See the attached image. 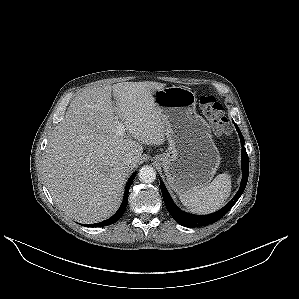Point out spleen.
Masks as SVG:
<instances>
[{
    "label": "spleen",
    "mask_w": 299,
    "mask_h": 299,
    "mask_svg": "<svg viewBox=\"0 0 299 299\" xmlns=\"http://www.w3.org/2000/svg\"><path fill=\"white\" fill-rule=\"evenodd\" d=\"M231 193V177L219 174L207 186L179 194L181 203L191 212L209 214L222 208Z\"/></svg>",
    "instance_id": "spleen-1"
}]
</instances>
